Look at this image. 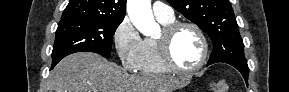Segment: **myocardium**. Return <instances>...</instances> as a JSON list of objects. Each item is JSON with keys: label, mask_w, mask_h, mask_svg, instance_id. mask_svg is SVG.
<instances>
[{"label": "myocardium", "mask_w": 289, "mask_h": 92, "mask_svg": "<svg viewBox=\"0 0 289 92\" xmlns=\"http://www.w3.org/2000/svg\"><path fill=\"white\" fill-rule=\"evenodd\" d=\"M182 28H190L198 35L202 43V55L197 65L192 68H181L173 60L171 53V45L176 33ZM156 44L160 54V58L164 66L173 73L178 74H192L206 64L209 56V42L204 31L195 23L188 21H174L163 27L160 36L156 39Z\"/></svg>", "instance_id": "1"}]
</instances>
